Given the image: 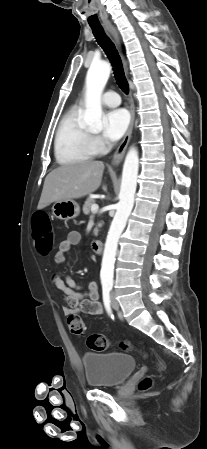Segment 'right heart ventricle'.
<instances>
[{"mask_svg":"<svg viewBox=\"0 0 207 449\" xmlns=\"http://www.w3.org/2000/svg\"><path fill=\"white\" fill-rule=\"evenodd\" d=\"M54 153L60 165L83 162L95 155L92 137L81 126L77 108H72L62 117L55 134Z\"/></svg>","mask_w":207,"mask_h":449,"instance_id":"1","label":"right heart ventricle"}]
</instances>
